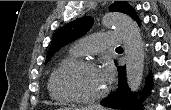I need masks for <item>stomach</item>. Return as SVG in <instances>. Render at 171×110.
<instances>
[{
  "mask_svg": "<svg viewBox=\"0 0 171 110\" xmlns=\"http://www.w3.org/2000/svg\"><path fill=\"white\" fill-rule=\"evenodd\" d=\"M58 110H65V109L61 108V109H58Z\"/></svg>",
  "mask_w": 171,
  "mask_h": 110,
  "instance_id": "1",
  "label": "stomach"
}]
</instances>
